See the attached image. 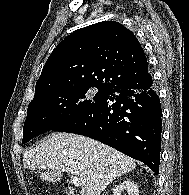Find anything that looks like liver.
<instances>
[{
    "label": "liver",
    "instance_id": "obj_1",
    "mask_svg": "<svg viewBox=\"0 0 189 195\" xmlns=\"http://www.w3.org/2000/svg\"><path fill=\"white\" fill-rule=\"evenodd\" d=\"M25 168L45 170L40 178L58 182L63 173L78 176L86 182L80 195H100L116 177L131 172L135 160L94 139L53 133L23 156Z\"/></svg>",
    "mask_w": 189,
    "mask_h": 195
}]
</instances>
